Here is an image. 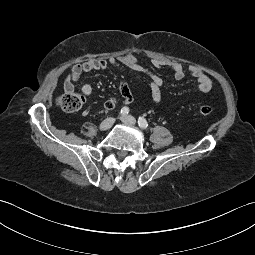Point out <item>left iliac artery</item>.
<instances>
[{
  "label": "left iliac artery",
  "instance_id": "44dca946",
  "mask_svg": "<svg viewBox=\"0 0 255 255\" xmlns=\"http://www.w3.org/2000/svg\"><path fill=\"white\" fill-rule=\"evenodd\" d=\"M138 125L143 129H146L148 127V123L144 117H139Z\"/></svg>",
  "mask_w": 255,
  "mask_h": 255
}]
</instances>
